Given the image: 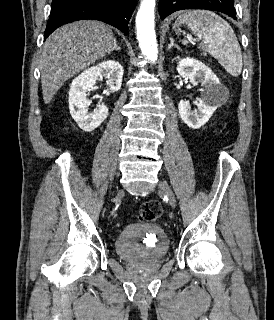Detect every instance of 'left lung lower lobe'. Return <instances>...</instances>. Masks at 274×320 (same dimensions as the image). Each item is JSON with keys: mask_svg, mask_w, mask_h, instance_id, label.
Listing matches in <instances>:
<instances>
[{"mask_svg": "<svg viewBox=\"0 0 274 320\" xmlns=\"http://www.w3.org/2000/svg\"><path fill=\"white\" fill-rule=\"evenodd\" d=\"M182 9H206L219 11L237 19L234 0H160L158 10L163 20L171 13Z\"/></svg>", "mask_w": 274, "mask_h": 320, "instance_id": "0a47b994", "label": "left lung lower lobe"}]
</instances>
